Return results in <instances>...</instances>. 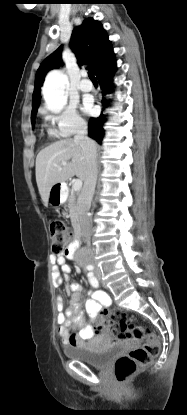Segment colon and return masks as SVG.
<instances>
[{
  "label": "colon",
  "instance_id": "obj_1",
  "mask_svg": "<svg viewBox=\"0 0 187 415\" xmlns=\"http://www.w3.org/2000/svg\"><path fill=\"white\" fill-rule=\"evenodd\" d=\"M52 251L54 254H68L74 243V232L63 221L55 220L50 223ZM96 330L101 333L116 334L125 338H133L143 342L134 347L127 355L119 357L114 365L115 377L119 382H125L141 367L145 366L152 357L160 352L159 340L142 325L135 324L120 316L118 313L103 308L98 312Z\"/></svg>",
  "mask_w": 187,
  "mask_h": 415
}]
</instances>
